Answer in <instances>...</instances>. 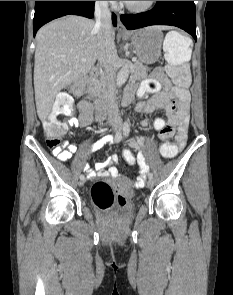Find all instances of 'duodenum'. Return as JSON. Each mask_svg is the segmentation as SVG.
<instances>
[{"label": "duodenum", "instance_id": "duodenum-1", "mask_svg": "<svg viewBox=\"0 0 233 295\" xmlns=\"http://www.w3.org/2000/svg\"><path fill=\"white\" fill-rule=\"evenodd\" d=\"M99 70L97 68H93L89 75L88 81V91L90 94L94 96L95 99V112L97 116H102L104 114V99L100 95V93L96 90V79L98 76ZM130 96L132 95V90L128 93Z\"/></svg>", "mask_w": 233, "mask_h": 295}]
</instances>
